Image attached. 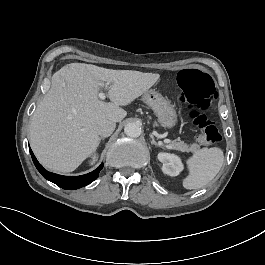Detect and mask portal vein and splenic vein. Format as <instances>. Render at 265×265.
Returning a JSON list of instances; mask_svg holds the SVG:
<instances>
[{"mask_svg": "<svg viewBox=\"0 0 265 265\" xmlns=\"http://www.w3.org/2000/svg\"><path fill=\"white\" fill-rule=\"evenodd\" d=\"M100 85L102 86L103 84H100ZM98 97H99L101 100H104V99L106 98V96H105V94H104L103 92H100V93L98 94ZM164 142H165V143H169L170 140H169V139H165Z\"/></svg>", "mask_w": 265, "mask_h": 265, "instance_id": "18ae733b", "label": "portal vein and splenic vein"}]
</instances>
